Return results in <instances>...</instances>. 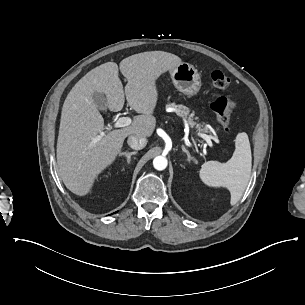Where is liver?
Masks as SVG:
<instances>
[{
  "mask_svg": "<svg viewBox=\"0 0 305 305\" xmlns=\"http://www.w3.org/2000/svg\"><path fill=\"white\" fill-rule=\"evenodd\" d=\"M183 61L162 51L143 52L123 59L119 69L127 79L125 91L118 65L102 64L87 73L68 94L64 104L57 144V174L68 190L78 196L93 192L98 177L121 154L125 138H150L156 129L155 109L159 100L157 80ZM95 94L106 98L110 112L123 109L125 99L139 116L127 127L109 132L101 140L104 118Z\"/></svg>",
  "mask_w": 305,
  "mask_h": 305,
  "instance_id": "6515ba94",
  "label": "liver"
}]
</instances>
